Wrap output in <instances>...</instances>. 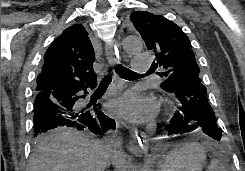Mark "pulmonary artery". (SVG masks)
<instances>
[{"mask_svg": "<svg viewBox=\"0 0 245 171\" xmlns=\"http://www.w3.org/2000/svg\"><path fill=\"white\" fill-rule=\"evenodd\" d=\"M149 57L146 55H136L133 57V68L137 72H143L148 68Z\"/></svg>", "mask_w": 245, "mask_h": 171, "instance_id": "1", "label": "pulmonary artery"}]
</instances>
